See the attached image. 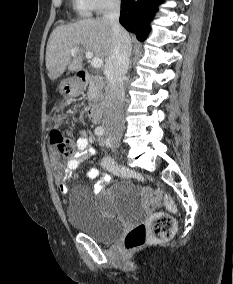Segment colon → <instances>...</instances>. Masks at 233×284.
I'll list each match as a JSON object with an SVG mask.
<instances>
[{
    "label": "colon",
    "instance_id": "1",
    "mask_svg": "<svg viewBox=\"0 0 233 284\" xmlns=\"http://www.w3.org/2000/svg\"><path fill=\"white\" fill-rule=\"evenodd\" d=\"M52 143L57 147L60 153L64 155H72L75 147L71 138V134L67 132L63 134L59 129L55 128L51 131ZM103 166L110 172L123 178L144 181L142 174L122 166L113 159H105ZM166 206L173 209V202L169 196H165ZM175 230L174 218L167 213H155L147 221L133 227L125 237V249L131 252L142 247L147 241L157 240L164 241L172 236Z\"/></svg>",
    "mask_w": 233,
    "mask_h": 284
}]
</instances>
